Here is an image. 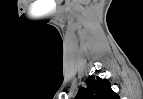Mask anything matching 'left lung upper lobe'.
<instances>
[{
    "label": "left lung upper lobe",
    "instance_id": "left-lung-upper-lobe-1",
    "mask_svg": "<svg viewBox=\"0 0 143 99\" xmlns=\"http://www.w3.org/2000/svg\"><path fill=\"white\" fill-rule=\"evenodd\" d=\"M87 88H80L75 99H119L107 79L97 77L86 80Z\"/></svg>",
    "mask_w": 143,
    "mask_h": 99
}]
</instances>
